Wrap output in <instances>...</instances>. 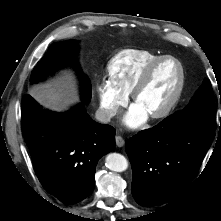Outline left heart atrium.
Wrapping results in <instances>:
<instances>
[{
  "mask_svg": "<svg viewBox=\"0 0 221 221\" xmlns=\"http://www.w3.org/2000/svg\"><path fill=\"white\" fill-rule=\"evenodd\" d=\"M148 115L144 109L135 103L126 113L124 123L131 128H136L146 121Z\"/></svg>",
  "mask_w": 221,
  "mask_h": 221,
  "instance_id": "39dd6f15",
  "label": "left heart atrium"
}]
</instances>
